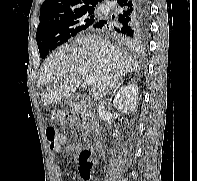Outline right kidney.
<instances>
[{"mask_svg":"<svg viewBox=\"0 0 197 181\" xmlns=\"http://www.w3.org/2000/svg\"><path fill=\"white\" fill-rule=\"evenodd\" d=\"M138 98V87L136 84H128L127 86L121 87L119 92L116 94L113 104L114 106L129 114L135 110ZM120 135L119 131L113 132V137H118Z\"/></svg>","mask_w":197,"mask_h":181,"instance_id":"right-kidney-1","label":"right kidney"}]
</instances>
